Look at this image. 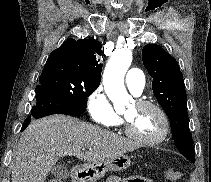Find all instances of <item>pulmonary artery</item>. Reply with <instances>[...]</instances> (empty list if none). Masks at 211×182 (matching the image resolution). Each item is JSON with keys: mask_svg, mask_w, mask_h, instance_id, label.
<instances>
[{"mask_svg": "<svg viewBox=\"0 0 211 182\" xmlns=\"http://www.w3.org/2000/svg\"><path fill=\"white\" fill-rule=\"evenodd\" d=\"M126 85L134 95H140L145 86L144 74L139 69H130L126 74Z\"/></svg>", "mask_w": 211, "mask_h": 182, "instance_id": "obj_1", "label": "pulmonary artery"}]
</instances>
